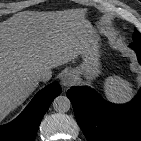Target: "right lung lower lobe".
I'll return each instance as SVG.
<instances>
[{"label":"right lung lower lobe","instance_id":"right-lung-lower-lobe-1","mask_svg":"<svg viewBox=\"0 0 141 141\" xmlns=\"http://www.w3.org/2000/svg\"><path fill=\"white\" fill-rule=\"evenodd\" d=\"M60 93L57 82L39 91L18 118L0 126V141H34L44 114Z\"/></svg>","mask_w":141,"mask_h":141}]
</instances>
